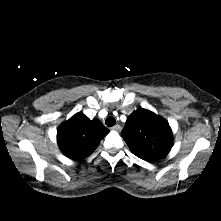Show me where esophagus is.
I'll use <instances>...</instances> for the list:
<instances>
[{"instance_id":"34e87169","label":"esophagus","mask_w":221,"mask_h":221,"mask_svg":"<svg viewBox=\"0 0 221 221\" xmlns=\"http://www.w3.org/2000/svg\"><path fill=\"white\" fill-rule=\"evenodd\" d=\"M112 130H114V131H120V130H121V126L118 125V124H116V125H114V126L112 127Z\"/></svg>"}]
</instances>
